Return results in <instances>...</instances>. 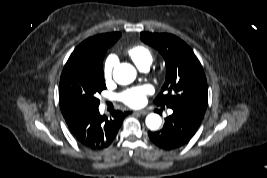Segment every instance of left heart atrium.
<instances>
[{
  "label": "left heart atrium",
  "instance_id": "1",
  "mask_svg": "<svg viewBox=\"0 0 267 178\" xmlns=\"http://www.w3.org/2000/svg\"><path fill=\"white\" fill-rule=\"evenodd\" d=\"M153 92L150 85L130 87L118 95V100L129 107H140L147 101V95Z\"/></svg>",
  "mask_w": 267,
  "mask_h": 178
}]
</instances>
